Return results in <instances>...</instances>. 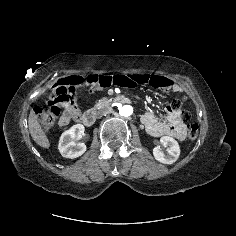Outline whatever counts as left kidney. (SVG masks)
Masks as SVG:
<instances>
[{"mask_svg":"<svg viewBox=\"0 0 236 236\" xmlns=\"http://www.w3.org/2000/svg\"><path fill=\"white\" fill-rule=\"evenodd\" d=\"M163 146L167 147V153H164L160 147L153 149L155 159L163 164L174 163L180 155V147L178 142L169 136H163L160 139Z\"/></svg>","mask_w":236,"mask_h":236,"instance_id":"1","label":"left kidney"}]
</instances>
